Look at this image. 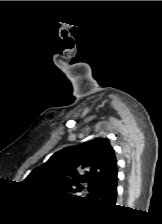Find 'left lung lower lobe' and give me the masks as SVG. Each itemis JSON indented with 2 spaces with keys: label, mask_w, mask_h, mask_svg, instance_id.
<instances>
[{
  "label": "left lung lower lobe",
  "mask_w": 162,
  "mask_h": 224,
  "mask_svg": "<svg viewBox=\"0 0 162 224\" xmlns=\"http://www.w3.org/2000/svg\"><path fill=\"white\" fill-rule=\"evenodd\" d=\"M117 171L113 172L106 181L91 194L89 200L100 203L114 204L117 195Z\"/></svg>",
  "instance_id": "1"
}]
</instances>
